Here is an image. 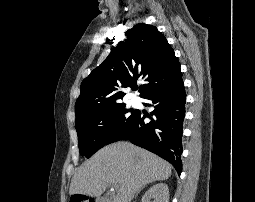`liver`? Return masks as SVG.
I'll list each match as a JSON object with an SVG mask.
<instances>
[{
	"mask_svg": "<svg viewBox=\"0 0 255 202\" xmlns=\"http://www.w3.org/2000/svg\"><path fill=\"white\" fill-rule=\"evenodd\" d=\"M172 167L153 153L129 142L105 146L85 161L71 180L70 195L99 197L107 186L116 190L113 202H131L146 184L166 180Z\"/></svg>",
	"mask_w": 255,
	"mask_h": 202,
	"instance_id": "6515ba94",
	"label": "liver"
}]
</instances>
